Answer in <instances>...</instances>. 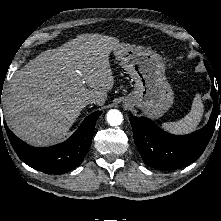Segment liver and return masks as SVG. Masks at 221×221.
Returning <instances> with one entry per match:
<instances>
[{"instance_id": "1", "label": "liver", "mask_w": 221, "mask_h": 221, "mask_svg": "<svg viewBox=\"0 0 221 221\" xmlns=\"http://www.w3.org/2000/svg\"><path fill=\"white\" fill-rule=\"evenodd\" d=\"M118 44V38L81 34L17 71L4 101L5 119L13 132L34 146L65 137L86 99H95L98 106L106 102L114 85L109 55Z\"/></svg>"}]
</instances>
